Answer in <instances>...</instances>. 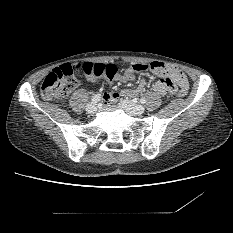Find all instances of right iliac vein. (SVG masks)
<instances>
[{
	"label": "right iliac vein",
	"instance_id": "right-iliac-vein-1",
	"mask_svg": "<svg viewBox=\"0 0 233 233\" xmlns=\"http://www.w3.org/2000/svg\"><path fill=\"white\" fill-rule=\"evenodd\" d=\"M97 110V106L95 103H89L86 107V111L89 113V114H94Z\"/></svg>",
	"mask_w": 233,
	"mask_h": 233
}]
</instances>
